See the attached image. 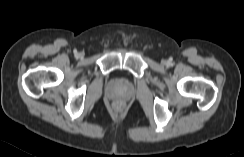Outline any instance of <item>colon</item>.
<instances>
[{"instance_id": "5ec220e1", "label": "colon", "mask_w": 244, "mask_h": 157, "mask_svg": "<svg viewBox=\"0 0 244 157\" xmlns=\"http://www.w3.org/2000/svg\"><path fill=\"white\" fill-rule=\"evenodd\" d=\"M116 107L119 109V108H121L122 107V103L121 102H118L117 104H116Z\"/></svg>"}]
</instances>
